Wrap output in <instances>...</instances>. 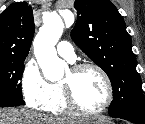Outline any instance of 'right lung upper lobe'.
I'll return each mask as SVG.
<instances>
[{
    "label": "right lung upper lobe",
    "mask_w": 145,
    "mask_h": 124,
    "mask_svg": "<svg viewBox=\"0 0 145 124\" xmlns=\"http://www.w3.org/2000/svg\"><path fill=\"white\" fill-rule=\"evenodd\" d=\"M34 31L31 6L27 2L11 4L0 15V59H25Z\"/></svg>",
    "instance_id": "1"
}]
</instances>
